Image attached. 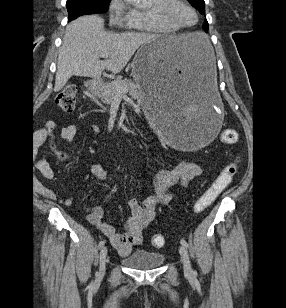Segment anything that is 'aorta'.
<instances>
[{
  "label": "aorta",
  "mask_w": 286,
  "mask_h": 308,
  "mask_svg": "<svg viewBox=\"0 0 286 308\" xmlns=\"http://www.w3.org/2000/svg\"><path fill=\"white\" fill-rule=\"evenodd\" d=\"M128 3H139L141 0H125Z\"/></svg>",
  "instance_id": "aorta-1"
}]
</instances>
